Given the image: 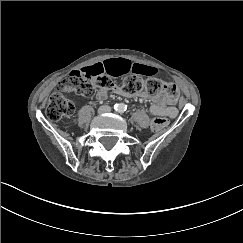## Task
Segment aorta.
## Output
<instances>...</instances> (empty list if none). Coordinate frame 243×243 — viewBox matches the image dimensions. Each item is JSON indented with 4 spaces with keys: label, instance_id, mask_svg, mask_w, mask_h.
I'll list each match as a JSON object with an SVG mask.
<instances>
[{
    "label": "aorta",
    "instance_id": "obj_1",
    "mask_svg": "<svg viewBox=\"0 0 243 243\" xmlns=\"http://www.w3.org/2000/svg\"><path fill=\"white\" fill-rule=\"evenodd\" d=\"M120 106H123V109H120V108H119ZM124 109H125V105H124L123 103H121V104L118 105V109H117V110H118L119 112L124 111Z\"/></svg>",
    "mask_w": 243,
    "mask_h": 243
}]
</instances>
